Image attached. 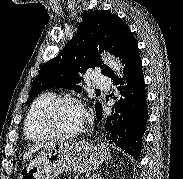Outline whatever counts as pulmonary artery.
I'll return each instance as SVG.
<instances>
[{"label":"pulmonary artery","instance_id":"1","mask_svg":"<svg viewBox=\"0 0 183 179\" xmlns=\"http://www.w3.org/2000/svg\"><path fill=\"white\" fill-rule=\"evenodd\" d=\"M111 81L108 77L102 75H96L95 77V85L98 88L107 89L109 88Z\"/></svg>","mask_w":183,"mask_h":179}]
</instances>
